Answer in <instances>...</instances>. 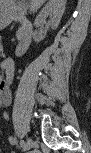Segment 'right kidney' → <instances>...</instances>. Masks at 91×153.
I'll list each match as a JSON object with an SVG mask.
<instances>
[{"label": "right kidney", "instance_id": "obj_1", "mask_svg": "<svg viewBox=\"0 0 91 153\" xmlns=\"http://www.w3.org/2000/svg\"><path fill=\"white\" fill-rule=\"evenodd\" d=\"M65 9L64 0H50L41 10L40 14L35 19L36 28L45 23L46 17H50V25L53 29H56L60 23L62 15ZM46 32L35 31L33 33V39L39 42L44 39Z\"/></svg>", "mask_w": 91, "mask_h": 153}]
</instances>
